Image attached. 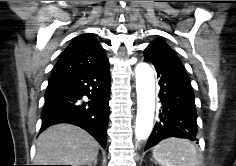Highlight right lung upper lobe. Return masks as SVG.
<instances>
[{
    "mask_svg": "<svg viewBox=\"0 0 236 166\" xmlns=\"http://www.w3.org/2000/svg\"><path fill=\"white\" fill-rule=\"evenodd\" d=\"M106 63L104 49L94 34L86 33L74 38L62 52L52 74L91 71Z\"/></svg>",
    "mask_w": 236,
    "mask_h": 166,
    "instance_id": "obj_1",
    "label": "right lung upper lobe"
}]
</instances>
